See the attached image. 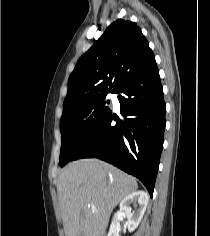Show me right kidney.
Listing matches in <instances>:
<instances>
[{"label":"right kidney","mask_w":210,"mask_h":236,"mask_svg":"<svg viewBox=\"0 0 210 236\" xmlns=\"http://www.w3.org/2000/svg\"><path fill=\"white\" fill-rule=\"evenodd\" d=\"M149 196L144 191H136L126 196L120 203V210L115 215L108 236H119L120 227L116 226L115 219L118 217H127V227L129 232H133L139 225L145 213ZM130 204H133L136 209L132 211Z\"/></svg>","instance_id":"right-kidney-1"}]
</instances>
